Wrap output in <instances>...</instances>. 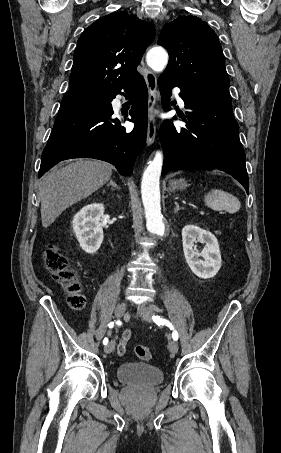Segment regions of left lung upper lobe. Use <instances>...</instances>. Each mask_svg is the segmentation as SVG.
Masks as SVG:
<instances>
[{
  "mask_svg": "<svg viewBox=\"0 0 281 453\" xmlns=\"http://www.w3.org/2000/svg\"><path fill=\"white\" fill-rule=\"evenodd\" d=\"M158 45L168 50L161 76L188 94L229 95V78L217 35L196 16H179L161 30Z\"/></svg>",
  "mask_w": 281,
  "mask_h": 453,
  "instance_id": "5c2ea615",
  "label": "left lung upper lobe"
}]
</instances>
